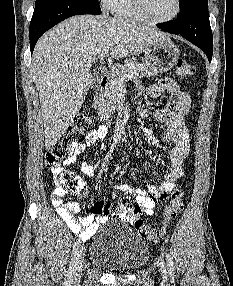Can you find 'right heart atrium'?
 <instances>
[{"label":"right heart atrium","mask_w":233,"mask_h":286,"mask_svg":"<svg viewBox=\"0 0 233 286\" xmlns=\"http://www.w3.org/2000/svg\"><path fill=\"white\" fill-rule=\"evenodd\" d=\"M110 2L111 0H101V5L104 9H108Z\"/></svg>","instance_id":"d8ad5b80"}]
</instances>
